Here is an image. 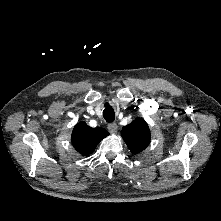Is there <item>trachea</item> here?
<instances>
[{
	"label": "trachea",
	"mask_w": 221,
	"mask_h": 221,
	"mask_svg": "<svg viewBox=\"0 0 221 221\" xmlns=\"http://www.w3.org/2000/svg\"><path fill=\"white\" fill-rule=\"evenodd\" d=\"M103 117L106 120V122H108V123H111L115 120V112H114L113 108L108 103H105Z\"/></svg>",
	"instance_id": "obj_1"
}]
</instances>
